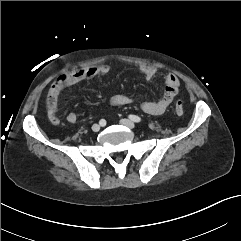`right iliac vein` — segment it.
<instances>
[{
	"label": "right iliac vein",
	"mask_w": 241,
	"mask_h": 241,
	"mask_svg": "<svg viewBox=\"0 0 241 241\" xmlns=\"http://www.w3.org/2000/svg\"><path fill=\"white\" fill-rule=\"evenodd\" d=\"M92 130H93L94 132H98V131L100 130V125L94 124V125L92 126Z\"/></svg>",
	"instance_id": "obj_1"
}]
</instances>
